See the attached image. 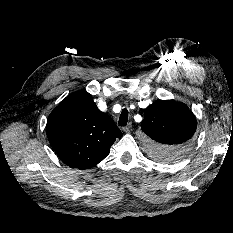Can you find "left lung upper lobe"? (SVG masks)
<instances>
[{
    "mask_svg": "<svg viewBox=\"0 0 233 233\" xmlns=\"http://www.w3.org/2000/svg\"><path fill=\"white\" fill-rule=\"evenodd\" d=\"M197 122L194 114L173 100H157L144 111L142 131L148 139L151 154L173 161L185 154L192 144Z\"/></svg>",
    "mask_w": 233,
    "mask_h": 233,
    "instance_id": "left-lung-upper-lobe-1",
    "label": "left lung upper lobe"
}]
</instances>
